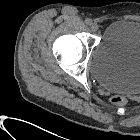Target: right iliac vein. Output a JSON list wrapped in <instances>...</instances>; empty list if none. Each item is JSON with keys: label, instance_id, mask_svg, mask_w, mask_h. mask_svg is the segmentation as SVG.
<instances>
[{"label": "right iliac vein", "instance_id": "obj_1", "mask_svg": "<svg viewBox=\"0 0 140 140\" xmlns=\"http://www.w3.org/2000/svg\"><path fill=\"white\" fill-rule=\"evenodd\" d=\"M98 29H99V25H98L97 23H93V24L91 25V30H92L93 32H96Z\"/></svg>", "mask_w": 140, "mask_h": 140}]
</instances>
